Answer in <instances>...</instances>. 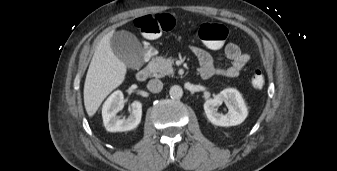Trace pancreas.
<instances>
[{"mask_svg":"<svg viewBox=\"0 0 337 171\" xmlns=\"http://www.w3.org/2000/svg\"><path fill=\"white\" fill-rule=\"evenodd\" d=\"M174 60L171 58L165 59L163 57L153 58L148 67L155 77H164L174 73L172 65Z\"/></svg>","mask_w":337,"mask_h":171,"instance_id":"1","label":"pancreas"}]
</instances>
